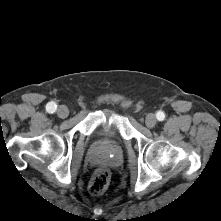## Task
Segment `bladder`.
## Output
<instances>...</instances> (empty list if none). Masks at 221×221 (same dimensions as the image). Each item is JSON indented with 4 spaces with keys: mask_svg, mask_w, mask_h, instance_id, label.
I'll list each match as a JSON object with an SVG mask.
<instances>
[{
    "mask_svg": "<svg viewBox=\"0 0 221 221\" xmlns=\"http://www.w3.org/2000/svg\"><path fill=\"white\" fill-rule=\"evenodd\" d=\"M104 130L107 131V132H113L114 133L115 132L114 124L112 123L110 125H106L104 127Z\"/></svg>",
    "mask_w": 221,
    "mask_h": 221,
    "instance_id": "31cf9c89",
    "label": "bladder"
}]
</instances>
